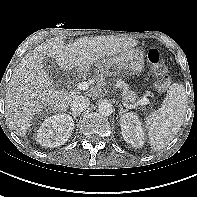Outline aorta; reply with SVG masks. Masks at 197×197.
I'll use <instances>...</instances> for the list:
<instances>
[{
  "mask_svg": "<svg viewBox=\"0 0 197 197\" xmlns=\"http://www.w3.org/2000/svg\"><path fill=\"white\" fill-rule=\"evenodd\" d=\"M98 111L103 116H110L113 113V105L105 100L99 103Z\"/></svg>",
  "mask_w": 197,
  "mask_h": 197,
  "instance_id": "1",
  "label": "aorta"
}]
</instances>
